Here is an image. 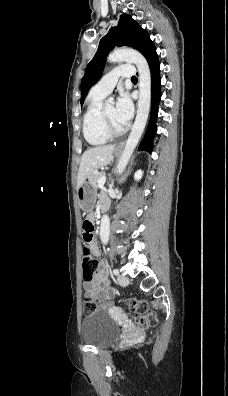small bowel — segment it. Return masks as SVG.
<instances>
[{
  "label": "small bowel",
  "instance_id": "small-bowel-1",
  "mask_svg": "<svg viewBox=\"0 0 228 396\" xmlns=\"http://www.w3.org/2000/svg\"><path fill=\"white\" fill-rule=\"evenodd\" d=\"M103 203H108V199L105 196L100 198V205ZM92 254L96 257L100 256V249L95 239L89 245ZM108 278L101 265L98 271L95 274L94 281L92 283H85L84 289L85 292L96 298L99 301L105 302L113 296V291L108 287ZM104 307H107V304H104Z\"/></svg>",
  "mask_w": 228,
  "mask_h": 396
}]
</instances>
